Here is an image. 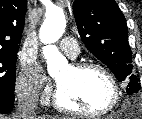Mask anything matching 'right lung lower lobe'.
<instances>
[{
    "label": "right lung lower lobe",
    "instance_id": "1",
    "mask_svg": "<svg viewBox=\"0 0 142 119\" xmlns=\"http://www.w3.org/2000/svg\"><path fill=\"white\" fill-rule=\"evenodd\" d=\"M15 96L0 94V113H9L13 109Z\"/></svg>",
    "mask_w": 142,
    "mask_h": 119
}]
</instances>
